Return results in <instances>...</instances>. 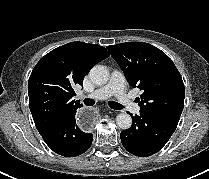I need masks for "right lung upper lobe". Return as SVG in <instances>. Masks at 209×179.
<instances>
[{
    "label": "right lung upper lobe",
    "instance_id": "cb5924a9",
    "mask_svg": "<svg viewBox=\"0 0 209 179\" xmlns=\"http://www.w3.org/2000/svg\"><path fill=\"white\" fill-rule=\"evenodd\" d=\"M109 56L96 44L71 42L43 56L28 81L29 108L40 135L82 105L72 99L73 87L98 62Z\"/></svg>",
    "mask_w": 209,
    "mask_h": 179
}]
</instances>
